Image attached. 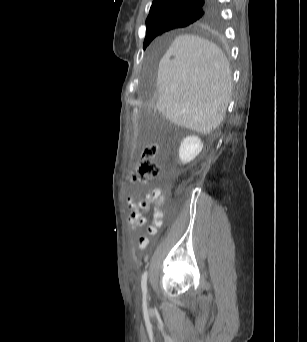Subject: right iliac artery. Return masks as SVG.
<instances>
[{"mask_svg":"<svg viewBox=\"0 0 307 342\" xmlns=\"http://www.w3.org/2000/svg\"><path fill=\"white\" fill-rule=\"evenodd\" d=\"M141 288L143 297L145 298L147 294V272H144V274L142 275Z\"/></svg>","mask_w":307,"mask_h":342,"instance_id":"82829eb1","label":"right iliac artery"}]
</instances>
